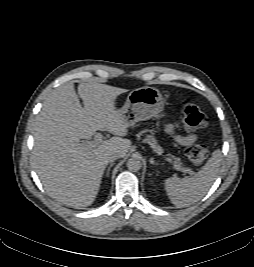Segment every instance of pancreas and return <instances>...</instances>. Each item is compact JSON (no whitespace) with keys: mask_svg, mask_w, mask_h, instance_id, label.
<instances>
[{"mask_svg":"<svg viewBox=\"0 0 254 267\" xmlns=\"http://www.w3.org/2000/svg\"><path fill=\"white\" fill-rule=\"evenodd\" d=\"M156 152L162 151V148L157 144L156 139L153 136H148L146 139Z\"/></svg>","mask_w":254,"mask_h":267,"instance_id":"obj_1","label":"pancreas"}]
</instances>
